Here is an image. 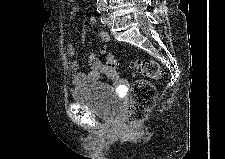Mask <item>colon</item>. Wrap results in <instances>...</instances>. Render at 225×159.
I'll list each match as a JSON object with an SVG mask.
<instances>
[{
  "label": "colon",
  "mask_w": 225,
  "mask_h": 159,
  "mask_svg": "<svg viewBox=\"0 0 225 159\" xmlns=\"http://www.w3.org/2000/svg\"><path fill=\"white\" fill-rule=\"evenodd\" d=\"M106 58L108 74L112 77H118L120 72L114 55L108 53ZM131 68L136 75L147 78L157 80L163 76L162 67L153 59L139 58L131 64ZM131 94L132 97L127 108L126 119L131 124H137L143 121L153 108L157 92L149 81L139 79L133 83Z\"/></svg>",
  "instance_id": "colon-1"
}]
</instances>
